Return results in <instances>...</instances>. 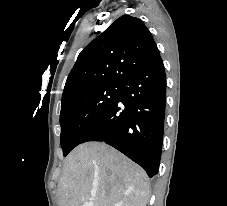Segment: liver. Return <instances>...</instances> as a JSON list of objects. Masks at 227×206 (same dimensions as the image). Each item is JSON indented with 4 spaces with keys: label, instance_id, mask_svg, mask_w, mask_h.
<instances>
[{
    "label": "liver",
    "instance_id": "obj_1",
    "mask_svg": "<svg viewBox=\"0 0 227 206\" xmlns=\"http://www.w3.org/2000/svg\"><path fill=\"white\" fill-rule=\"evenodd\" d=\"M150 184L146 172L109 145L86 142L64 162L58 183L59 206H146Z\"/></svg>",
    "mask_w": 227,
    "mask_h": 206
}]
</instances>
